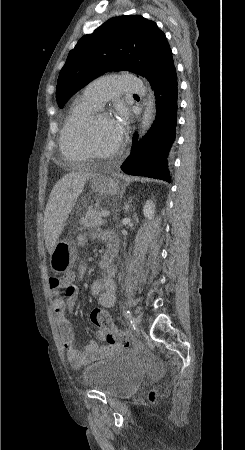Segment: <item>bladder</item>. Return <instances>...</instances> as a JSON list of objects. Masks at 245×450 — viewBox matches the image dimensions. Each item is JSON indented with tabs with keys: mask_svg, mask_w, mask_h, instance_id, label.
I'll return each instance as SVG.
<instances>
[{
	"mask_svg": "<svg viewBox=\"0 0 245 450\" xmlns=\"http://www.w3.org/2000/svg\"><path fill=\"white\" fill-rule=\"evenodd\" d=\"M81 378L87 387L112 397H127L141 384L143 374L131 359L111 357L88 365Z\"/></svg>",
	"mask_w": 245,
	"mask_h": 450,
	"instance_id": "31cf9c89",
	"label": "bladder"
}]
</instances>
